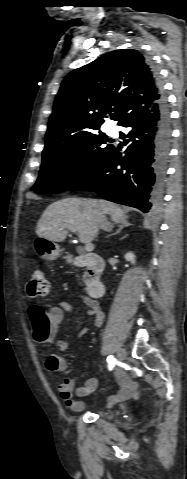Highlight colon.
<instances>
[{
  "instance_id": "5ec220e1",
  "label": "colon",
  "mask_w": 187,
  "mask_h": 479,
  "mask_svg": "<svg viewBox=\"0 0 187 479\" xmlns=\"http://www.w3.org/2000/svg\"><path fill=\"white\" fill-rule=\"evenodd\" d=\"M48 291L49 285L47 279L45 278L44 272L40 269L33 270L27 283V293L29 297H44L48 294ZM42 314L45 319L48 318L44 310Z\"/></svg>"
}]
</instances>
